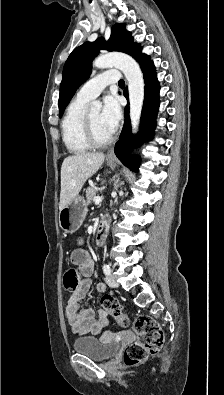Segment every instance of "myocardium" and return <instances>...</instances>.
Returning a JSON list of instances; mask_svg holds the SVG:
<instances>
[{
    "instance_id": "myocardium-1",
    "label": "myocardium",
    "mask_w": 224,
    "mask_h": 395,
    "mask_svg": "<svg viewBox=\"0 0 224 395\" xmlns=\"http://www.w3.org/2000/svg\"><path fill=\"white\" fill-rule=\"evenodd\" d=\"M83 128H84V134L86 140L92 147L95 148L105 147L109 145L114 139L113 133L104 140L99 139L94 132L88 113H85L84 115Z\"/></svg>"
}]
</instances>
